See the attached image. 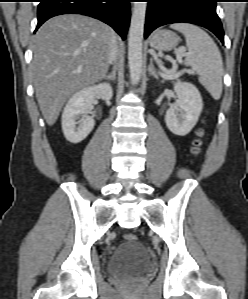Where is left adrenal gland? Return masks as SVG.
I'll return each mask as SVG.
<instances>
[{"label":"left adrenal gland","instance_id":"1","mask_svg":"<svg viewBox=\"0 0 248 299\" xmlns=\"http://www.w3.org/2000/svg\"><path fill=\"white\" fill-rule=\"evenodd\" d=\"M148 72H149L150 75L154 76L156 79L158 78V74H157L156 69L153 65V59L152 58L150 59V64L148 66Z\"/></svg>","mask_w":248,"mask_h":299}]
</instances>
